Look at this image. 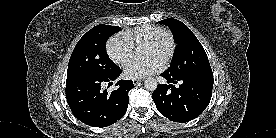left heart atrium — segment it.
<instances>
[{"mask_svg":"<svg viewBox=\"0 0 276 138\" xmlns=\"http://www.w3.org/2000/svg\"><path fill=\"white\" fill-rule=\"evenodd\" d=\"M162 62L157 58L149 57L144 60H132L124 68V74L131 79H140L160 71Z\"/></svg>","mask_w":276,"mask_h":138,"instance_id":"left-heart-atrium-1","label":"left heart atrium"}]
</instances>
